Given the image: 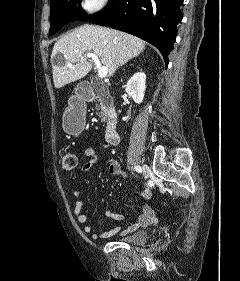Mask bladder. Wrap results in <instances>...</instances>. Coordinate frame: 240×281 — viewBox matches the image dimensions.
<instances>
[{"instance_id": "bladder-1", "label": "bladder", "mask_w": 240, "mask_h": 281, "mask_svg": "<svg viewBox=\"0 0 240 281\" xmlns=\"http://www.w3.org/2000/svg\"><path fill=\"white\" fill-rule=\"evenodd\" d=\"M148 238V233L144 230H139L134 233L128 234L127 236L123 237L122 240L129 244H143L146 242Z\"/></svg>"}]
</instances>
